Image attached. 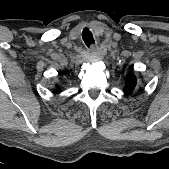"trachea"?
<instances>
[{
    "label": "trachea",
    "mask_w": 169,
    "mask_h": 169,
    "mask_svg": "<svg viewBox=\"0 0 169 169\" xmlns=\"http://www.w3.org/2000/svg\"><path fill=\"white\" fill-rule=\"evenodd\" d=\"M82 39L87 47L94 44V38L91 31L88 28H84L82 31Z\"/></svg>",
    "instance_id": "1"
}]
</instances>
